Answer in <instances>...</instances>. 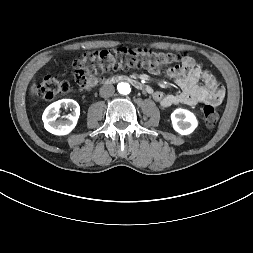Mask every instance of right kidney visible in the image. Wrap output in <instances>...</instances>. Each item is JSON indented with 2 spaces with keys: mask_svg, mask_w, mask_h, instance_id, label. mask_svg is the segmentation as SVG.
I'll use <instances>...</instances> for the list:
<instances>
[{
  "mask_svg": "<svg viewBox=\"0 0 253 253\" xmlns=\"http://www.w3.org/2000/svg\"><path fill=\"white\" fill-rule=\"evenodd\" d=\"M70 108L72 111L67 120H57L60 108ZM80 114L78 103L72 99H61L50 104L44 111L42 120L47 131L55 135L69 134L76 126Z\"/></svg>",
  "mask_w": 253,
  "mask_h": 253,
  "instance_id": "ca27d5eb",
  "label": "right kidney"
}]
</instances>
